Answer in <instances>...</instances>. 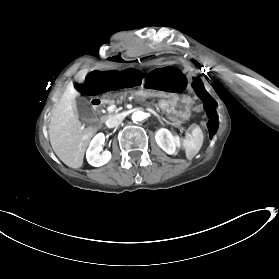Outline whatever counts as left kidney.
Segmentation results:
<instances>
[{"mask_svg": "<svg viewBox=\"0 0 279 279\" xmlns=\"http://www.w3.org/2000/svg\"><path fill=\"white\" fill-rule=\"evenodd\" d=\"M156 142L167 154H174L179 146L178 137L172 135L168 129L162 128L156 133Z\"/></svg>", "mask_w": 279, "mask_h": 279, "instance_id": "1", "label": "left kidney"}]
</instances>
